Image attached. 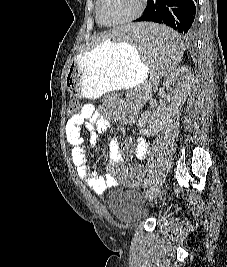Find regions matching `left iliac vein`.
Here are the masks:
<instances>
[{
  "label": "left iliac vein",
  "mask_w": 227,
  "mask_h": 267,
  "mask_svg": "<svg viewBox=\"0 0 227 267\" xmlns=\"http://www.w3.org/2000/svg\"><path fill=\"white\" fill-rule=\"evenodd\" d=\"M162 183L161 181H157L155 182L146 192L145 194V198L146 200L152 201L158 194L160 187H161Z\"/></svg>",
  "instance_id": "1"
}]
</instances>
